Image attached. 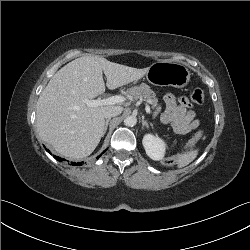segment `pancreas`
<instances>
[{"label": "pancreas", "instance_id": "1", "mask_svg": "<svg viewBox=\"0 0 250 250\" xmlns=\"http://www.w3.org/2000/svg\"><path fill=\"white\" fill-rule=\"evenodd\" d=\"M126 94L129 98L135 100L142 99L148 101L153 108L158 105V99L155 92L145 83L127 89Z\"/></svg>", "mask_w": 250, "mask_h": 250}]
</instances>
